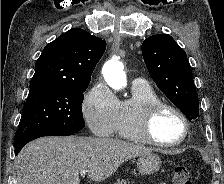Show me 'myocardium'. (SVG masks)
<instances>
[{
    "mask_svg": "<svg viewBox=\"0 0 224 184\" xmlns=\"http://www.w3.org/2000/svg\"><path fill=\"white\" fill-rule=\"evenodd\" d=\"M166 110L173 112L183 123V135L177 141L162 142L156 139L153 134V124L156 117ZM135 127L143 142L161 148H172L182 144L188 137L190 131V125L186 115L176 106L161 100L150 102L142 109L137 116Z\"/></svg>",
    "mask_w": 224,
    "mask_h": 184,
    "instance_id": "f54148a6",
    "label": "myocardium"
}]
</instances>
